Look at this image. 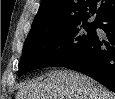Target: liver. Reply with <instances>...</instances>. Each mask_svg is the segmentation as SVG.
Returning <instances> with one entry per match:
<instances>
[{"instance_id":"liver-1","label":"liver","mask_w":115,"mask_h":99,"mask_svg":"<svg viewBox=\"0 0 115 99\" xmlns=\"http://www.w3.org/2000/svg\"><path fill=\"white\" fill-rule=\"evenodd\" d=\"M16 99H115V94L88 76L65 70L23 83Z\"/></svg>"}]
</instances>
